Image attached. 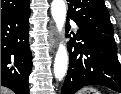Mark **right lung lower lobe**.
Returning <instances> with one entry per match:
<instances>
[{
    "label": "right lung lower lobe",
    "instance_id": "98d812e1",
    "mask_svg": "<svg viewBox=\"0 0 121 94\" xmlns=\"http://www.w3.org/2000/svg\"><path fill=\"white\" fill-rule=\"evenodd\" d=\"M30 7L1 17V85L16 94H29L32 69L29 49Z\"/></svg>",
    "mask_w": 121,
    "mask_h": 94
}]
</instances>
